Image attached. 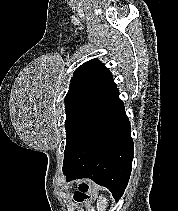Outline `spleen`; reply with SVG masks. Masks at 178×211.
Listing matches in <instances>:
<instances>
[{"label":"spleen","mask_w":178,"mask_h":211,"mask_svg":"<svg viewBox=\"0 0 178 211\" xmlns=\"http://www.w3.org/2000/svg\"><path fill=\"white\" fill-rule=\"evenodd\" d=\"M108 206V199L103 195L99 196L97 200V209L98 211H105Z\"/></svg>","instance_id":"spleen-1"}]
</instances>
